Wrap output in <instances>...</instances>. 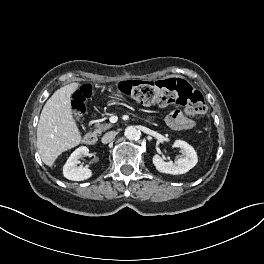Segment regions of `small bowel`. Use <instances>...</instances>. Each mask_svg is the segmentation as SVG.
Masks as SVG:
<instances>
[{
    "label": "small bowel",
    "mask_w": 264,
    "mask_h": 264,
    "mask_svg": "<svg viewBox=\"0 0 264 264\" xmlns=\"http://www.w3.org/2000/svg\"><path fill=\"white\" fill-rule=\"evenodd\" d=\"M167 124L175 130H189L195 126L193 120L186 117L181 111L174 110L166 116Z\"/></svg>",
    "instance_id": "small-bowel-1"
}]
</instances>
